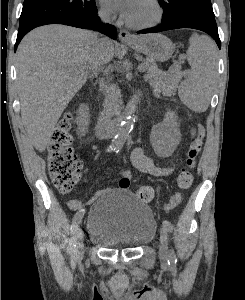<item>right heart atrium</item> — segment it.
Instances as JSON below:
<instances>
[{
	"instance_id": "1",
	"label": "right heart atrium",
	"mask_w": 245,
	"mask_h": 300,
	"mask_svg": "<svg viewBox=\"0 0 245 300\" xmlns=\"http://www.w3.org/2000/svg\"><path fill=\"white\" fill-rule=\"evenodd\" d=\"M99 14H100L101 18L104 19V20H108L110 18V12L105 7L100 8Z\"/></svg>"
}]
</instances>
